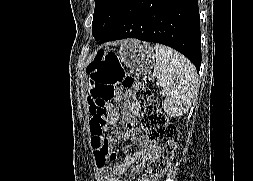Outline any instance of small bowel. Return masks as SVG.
<instances>
[{
	"label": "small bowel",
	"instance_id": "small-bowel-1",
	"mask_svg": "<svg viewBox=\"0 0 253 181\" xmlns=\"http://www.w3.org/2000/svg\"><path fill=\"white\" fill-rule=\"evenodd\" d=\"M132 99V91H119L113 98V101L117 103L124 101L125 108L132 111L135 105ZM89 105L92 110L90 99ZM120 116V109L112 105L109 107L108 116L103 122L98 118H95L93 114H91L90 117V143L91 147L93 148L94 161L100 173V180L122 181V175L125 174L129 167L135 165L132 169L130 179L124 181H150L149 173L147 172V166L149 162L157 155V148L150 140L140 136L137 133H133L134 120L130 114L125 115L123 127L124 135L131 136V138L140 145L141 151L126 155L124 161L121 163L115 162L116 153L114 152V147L117 146L118 141L117 139L111 137L105 138L104 134L109 130H112V126L119 121ZM135 174H140V177L135 178Z\"/></svg>",
	"mask_w": 253,
	"mask_h": 181
}]
</instances>
